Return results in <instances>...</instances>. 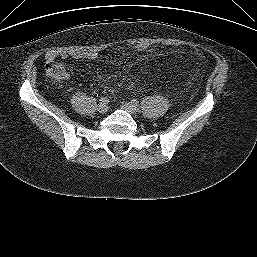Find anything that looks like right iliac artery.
Here are the masks:
<instances>
[{
  "instance_id": "obj_1",
  "label": "right iliac artery",
  "mask_w": 257,
  "mask_h": 257,
  "mask_svg": "<svg viewBox=\"0 0 257 257\" xmlns=\"http://www.w3.org/2000/svg\"><path fill=\"white\" fill-rule=\"evenodd\" d=\"M100 102L107 104L109 102V98L108 97H102V98H100Z\"/></svg>"
}]
</instances>
